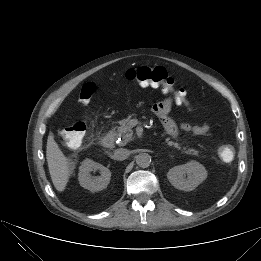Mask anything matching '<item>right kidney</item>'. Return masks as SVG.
<instances>
[{
    "label": "right kidney",
    "mask_w": 261,
    "mask_h": 261,
    "mask_svg": "<svg viewBox=\"0 0 261 261\" xmlns=\"http://www.w3.org/2000/svg\"><path fill=\"white\" fill-rule=\"evenodd\" d=\"M97 170L100 171L101 175L92 177L90 173ZM79 171L78 179L80 185L92 192L101 191L106 188L111 179V172L108 168L90 159L82 162Z\"/></svg>",
    "instance_id": "1"
}]
</instances>
